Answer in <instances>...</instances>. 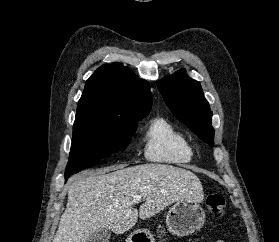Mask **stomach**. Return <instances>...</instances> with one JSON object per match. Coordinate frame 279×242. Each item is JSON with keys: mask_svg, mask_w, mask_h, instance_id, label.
I'll use <instances>...</instances> for the list:
<instances>
[{"mask_svg": "<svg viewBox=\"0 0 279 242\" xmlns=\"http://www.w3.org/2000/svg\"><path fill=\"white\" fill-rule=\"evenodd\" d=\"M205 217V211L196 201L181 199L169 209L166 227L174 236H188L202 228ZM128 242H155V240L149 231L139 229L129 236Z\"/></svg>", "mask_w": 279, "mask_h": 242, "instance_id": "stomach-1", "label": "stomach"}]
</instances>
